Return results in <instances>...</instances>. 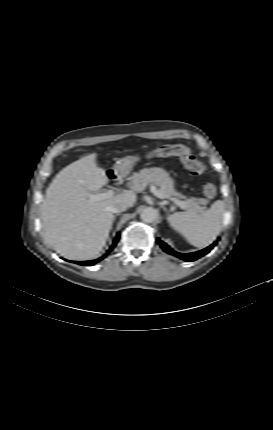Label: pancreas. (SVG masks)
<instances>
[{
	"label": "pancreas",
	"instance_id": "pancreas-1",
	"mask_svg": "<svg viewBox=\"0 0 273 430\" xmlns=\"http://www.w3.org/2000/svg\"><path fill=\"white\" fill-rule=\"evenodd\" d=\"M131 179L136 191L144 190L149 183H152L159 186L160 191L168 197L186 199L185 196L176 192L169 174L160 167L142 169L138 173H134ZM182 202L185 205L183 209L201 212L204 208L201 207L200 204H206L207 200L190 198Z\"/></svg>",
	"mask_w": 273,
	"mask_h": 430
}]
</instances>
